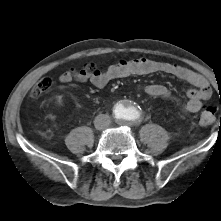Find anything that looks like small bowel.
I'll return each mask as SVG.
<instances>
[{
    "mask_svg": "<svg viewBox=\"0 0 221 221\" xmlns=\"http://www.w3.org/2000/svg\"><path fill=\"white\" fill-rule=\"evenodd\" d=\"M155 73L172 75L193 86V88L187 91L188 100L182 108L184 113L198 112L204 106L205 101L211 96L210 84L201 74L183 66L160 63L145 58L123 59L110 65L105 70H97L92 73L70 69L59 76V81L62 84L90 82L97 88H104L115 79ZM141 91L147 95L162 98H168L171 95L167 87L158 84L144 85L141 87Z\"/></svg>",
    "mask_w": 221,
    "mask_h": 221,
    "instance_id": "1",
    "label": "small bowel"
}]
</instances>
